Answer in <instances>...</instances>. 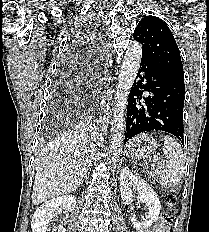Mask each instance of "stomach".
<instances>
[{
	"mask_svg": "<svg viewBox=\"0 0 209 232\" xmlns=\"http://www.w3.org/2000/svg\"><path fill=\"white\" fill-rule=\"evenodd\" d=\"M157 149L156 140L149 134L143 133L134 137L125 146V153L131 158H146Z\"/></svg>",
	"mask_w": 209,
	"mask_h": 232,
	"instance_id": "0dacf381",
	"label": "stomach"
}]
</instances>
